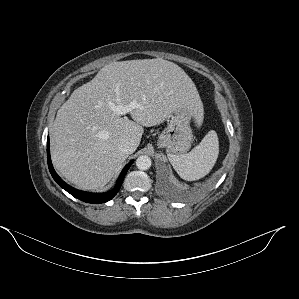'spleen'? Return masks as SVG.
<instances>
[{
  "label": "spleen",
  "mask_w": 299,
  "mask_h": 299,
  "mask_svg": "<svg viewBox=\"0 0 299 299\" xmlns=\"http://www.w3.org/2000/svg\"><path fill=\"white\" fill-rule=\"evenodd\" d=\"M219 141L214 130L209 131L187 154L168 155V159L178 175L186 181H195L206 176L216 163Z\"/></svg>",
  "instance_id": "spleen-1"
}]
</instances>
